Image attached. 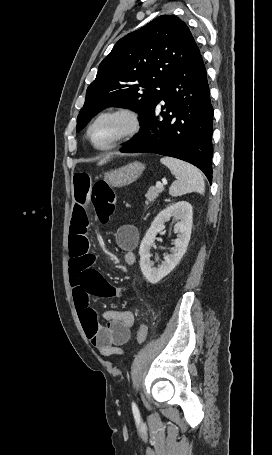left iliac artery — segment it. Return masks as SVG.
<instances>
[{"instance_id": "44dca946", "label": "left iliac artery", "mask_w": 272, "mask_h": 455, "mask_svg": "<svg viewBox=\"0 0 272 455\" xmlns=\"http://www.w3.org/2000/svg\"><path fill=\"white\" fill-rule=\"evenodd\" d=\"M132 411H133L134 416H139L138 407L134 402H132Z\"/></svg>"}]
</instances>
